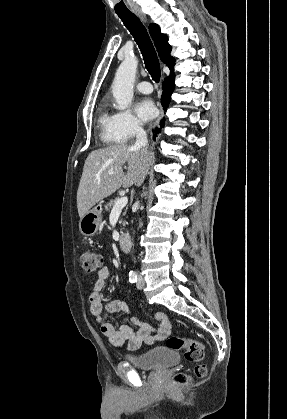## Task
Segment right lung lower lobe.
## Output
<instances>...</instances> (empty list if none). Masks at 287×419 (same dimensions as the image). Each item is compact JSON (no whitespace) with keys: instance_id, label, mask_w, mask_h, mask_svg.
Segmentation results:
<instances>
[{"instance_id":"obj_1","label":"right lung lower lobe","mask_w":287,"mask_h":419,"mask_svg":"<svg viewBox=\"0 0 287 419\" xmlns=\"http://www.w3.org/2000/svg\"><path fill=\"white\" fill-rule=\"evenodd\" d=\"M173 80H174V76H173V71H172L171 75L168 78H166V80L163 83V95H162L161 103L164 110L167 109L170 102V98H171V94L173 90ZM163 126H164V122L162 121L161 127ZM157 131L160 132L161 130L157 129ZM155 136H154V139H155Z\"/></svg>"}]
</instances>
